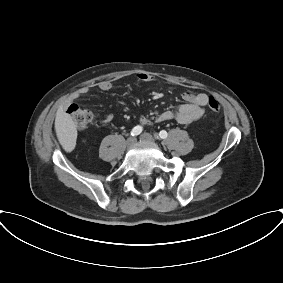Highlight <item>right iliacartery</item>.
Segmentation results:
<instances>
[{"label":"right iliac artery","mask_w":283,"mask_h":283,"mask_svg":"<svg viewBox=\"0 0 283 283\" xmlns=\"http://www.w3.org/2000/svg\"><path fill=\"white\" fill-rule=\"evenodd\" d=\"M143 128L139 125L135 126L132 131H131V135L132 136H137L142 132Z\"/></svg>","instance_id":"right-iliac-artery-1"}]
</instances>
